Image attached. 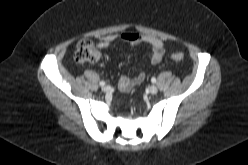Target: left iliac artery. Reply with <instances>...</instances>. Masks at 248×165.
<instances>
[{
    "mask_svg": "<svg viewBox=\"0 0 248 165\" xmlns=\"http://www.w3.org/2000/svg\"><path fill=\"white\" fill-rule=\"evenodd\" d=\"M151 81H152V83H156V78L153 77V78L151 79Z\"/></svg>",
    "mask_w": 248,
    "mask_h": 165,
    "instance_id": "1",
    "label": "left iliac artery"
}]
</instances>
